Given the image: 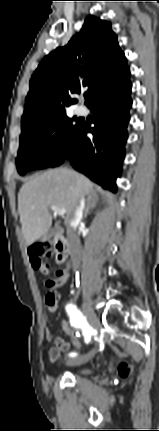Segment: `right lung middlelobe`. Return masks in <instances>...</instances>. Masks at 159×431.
Segmentation results:
<instances>
[{
	"label": "right lung middle lobe",
	"mask_w": 159,
	"mask_h": 431,
	"mask_svg": "<svg viewBox=\"0 0 159 431\" xmlns=\"http://www.w3.org/2000/svg\"><path fill=\"white\" fill-rule=\"evenodd\" d=\"M60 113L22 131L16 159L17 170L26 172L46 168L80 126V121Z\"/></svg>",
	"instance_id": "obj_1"
}]
</instances>
